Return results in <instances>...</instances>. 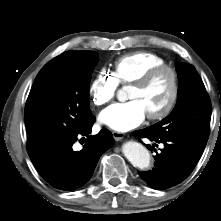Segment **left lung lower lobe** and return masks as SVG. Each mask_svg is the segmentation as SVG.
<instances>
[{
  "instance_id": "0a47b994",
  "label": "left lung lower lobe",
  "mask_w": 221,
  "mask_h": 221,
  "mask_svg": "<svg viewBox=\"0 0 221 221\" xmlns=\"http://www.w3.org/2000/svg\"><path fill=\"white\" fill-rule=\"evenodd\" d=\"M134 134L139 138L146 137L150 141L164 145L159 153L155 151L157 153L154 156L155 167L146 172H139L140 177L157 190L170 188L186 179L193 171L205 148V144L188 138L157 136L151 127L137 130ZM146 146L148 149H155L154 146Z\"/></svg>"
}]
</instances>
